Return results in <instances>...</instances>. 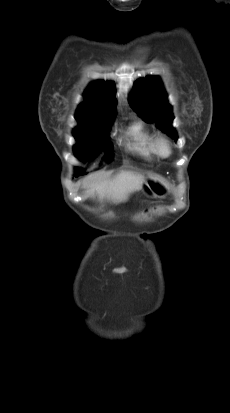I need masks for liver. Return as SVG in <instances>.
Returning a JSON list of instances; mask_svg holds the SVG:
<instances>
[{"instance_id":"obj_1","label":"liver","mask_w":230,"mask_h":413,"mask_svg":"<svg viewBox=\"0 0 230 413\" xmlns=\"http://www.w3.org/2000/svg\"><path fill=\"white\" fill-rule=\"evenodd\" d=\"M144 177L131 171H120L114 178L101 181L89 186L90 195L96 191L99 198L107 197L114 203H121L128 199L129 195L142 189Z\"/></svg>"}]
</instances>
